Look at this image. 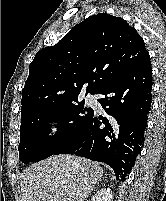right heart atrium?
<instances>
[{
    "label": "right heart atrium",
    "mask_w": 166,
    "mask_h": 201,
    "mask_svg": "<svg viewBox=\"0 0 166 201\" xmlns=\"http://www.w3.org/2000/svg\"><path fill=\"white\" fill-rule=\"evenodd\" d=\"M58 130V124L56 122H50L49 131L51 134H55Z\"/></svg>",
    "instance_id": "right-heart-atrium-1"
}]
</instances>
